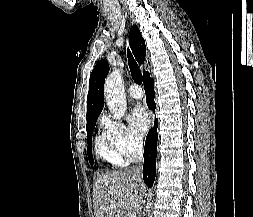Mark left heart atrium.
<instances>
[{
  "label": "left heart atrium",
  "mask_w": 253,
  "mask_h": 217,
  "mask_svg": "<svg viewBox=\"0 0 253 217\" xmlns=\"http://www.w3.org/2000/svg\"><path fill=\"white\" fill-rule=\"evenodd\" d=\"M131 126L138 132L144 133L150 126V117L146 109L141 105L137 104L130 114Z\"/></svg>",
  "instance_id": "39dd6f15"
}]
</instances>
